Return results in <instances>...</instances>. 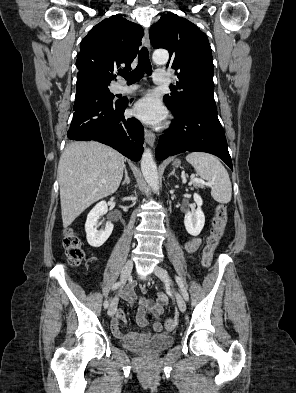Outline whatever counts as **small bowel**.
Wrapping results in <instances>:
<instances>
[{"instance_id": "c3829d8e", "label": "small bowel", "mask_w": 296, "mask_h": 393, "mask_svg": "<svg viewBox=\"0 0 296 393\" xmlns=\"http://www.w3.org/2000/svg\"><path fill=\"white\" fill-rule=\"evenodd\" d=\"M201 246V239L198 237H193L186 241L185 249L188 252H194ZM137 289L144 292L145 288L142 286H137L135 283L129 284L122 292L121 296L133 305L135 302H139V310L137 312V322L140 326L145 327L149 324V322L145 319L144 315L147 312L152 313L156 319H159L164 311V307L168 302L167 296L162 293L158 292L157 297L155 299L146 298V297H139L137 295ZM125 313L121 308H116L115 317L111 323L112 332L118 336L124 338L125 341H143L151 337L150 331H143V332H134V333H127L124 334L120 324L125 322ZM162 328L161 323L159 321H155L152 324V329L154 331H160Z\"/></svg>"}]
</instances>
